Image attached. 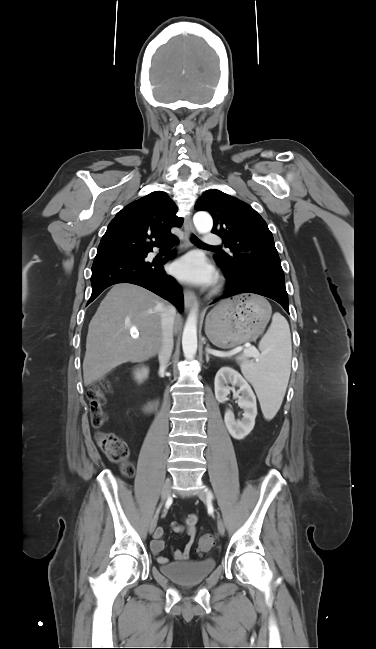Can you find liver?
I'll return each instance as SVG.
<instances>
[{
    "instance_id": "6515ba94",
    "label": "liver",
    "mask_w": 376,
    "mask_h": 649,
    "mask_svg": "<svg viewBox=\"0 0 376 649\" xmlns=\"http://www.w3.org/2000/svg\"><path fill=\"white\" fill-rule=\"evenodd\" d=\"M167 305L147 289L114 285L90 321L83 361L84 385L103 378L124 362H141L155 356L161 346V313ZM175 316L174 329L181 327Z\"/></svg>"
}]
</instances>
